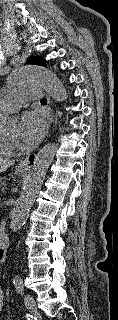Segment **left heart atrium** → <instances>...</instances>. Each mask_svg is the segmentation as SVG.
Listing matches in <instances>:
<instances>
[{
	"mask_svg": "<svg viewBox=\"0 0 118 320\" xmlns=\"http://www.w3.org/2000/svg\"><path fill=\"white\" fill-rule=\"evenodd\" d=\"M46 128V118L41 110L27 111L22 115L19 135L24 143L35 145L43 138Z\"/></svg>",
	"mask_w": 118,
	"mask_h": 320,
	"instance_id": "obj_1",
	"label": "left heart atrium"
}]
</instances>
